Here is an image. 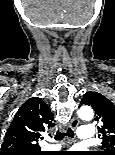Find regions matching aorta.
<instances>
[{"label": "aorta", "mask_w": 115, "mask_h": 155, "mask_svg": "<svg viewBox=\"0 0 115 155\" xmlns=\"http://www.w3.org/2000/svg\"><path fill=\"white\" fill-rule=\"evenodd\" d=\"M77 114L80 119L85 121H90L94 116L93 109L90 106H82Z\"/></svg>", "instance_id": "1"}]
</instances>
